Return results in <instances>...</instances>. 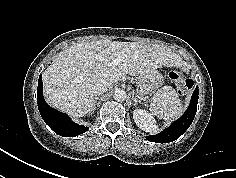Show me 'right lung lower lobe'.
<instances>
[{
    "mask_svg": "<svg viewBox=\"0 0 236 178\" xmlns=\"http://www.w3.org/2000/svg\"><path fill=\"white\" fill-rule=\"evenodd\" d=\"M37 103L43 120L58 135L72 137L82 134L88 130V127L72 122L66 114L51 108L45 102L43 97L42 75H40L38 80Z\"/></svg>",
    "mask_w": 236,
    "mask_h": 178,
    "instance_id": "obj_1",
    "label": "right lung lower lobe"
}]
</instances>
